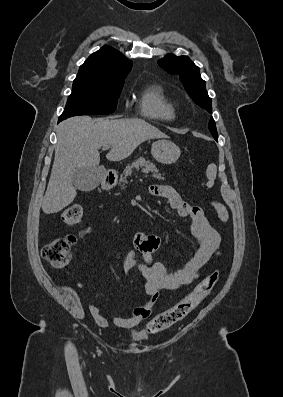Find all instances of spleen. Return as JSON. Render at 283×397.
Returning a JSON list of instances; mask_svg holds the SVG:
<instances>
[{
    "label": "spleen",
    "instance_id": "spleen-1",
    "mask_svg": "<svg viewBox=\"0 0 283 397\" xmlns=\"http://www.w3.org/2000/svg\"><path fill=\"white\" fill-rule=\"evenodd\" d=\"M216 174H217V166L215 164H209L206 170V175L208 178V183L207 185L209 187H212L214 185V181L216 179Z\"/></svg>",
    "mask_w": 283,
    "mask_h": 397
}]
</instances>
